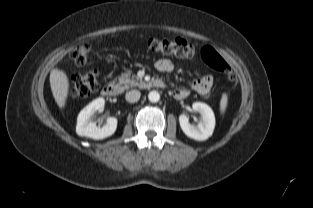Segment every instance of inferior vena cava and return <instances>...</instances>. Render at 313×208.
Here are the masks:
<instances>
[{"label":"inferior vena cava","mask_w":313,"mask_h":208,"mask_svg":"<svg viewBox=\"0 0 313 208\" xmlns=\"http://www.w3.org/2000/svg\"><path fill=\"white\" fill-rule=\"evenodd\" d=\"M141 93L138 90H131L126 93L125 98L130 103H135L140 99Z\"/></svg>","instance_id":"602c4592"}]
</instances>
